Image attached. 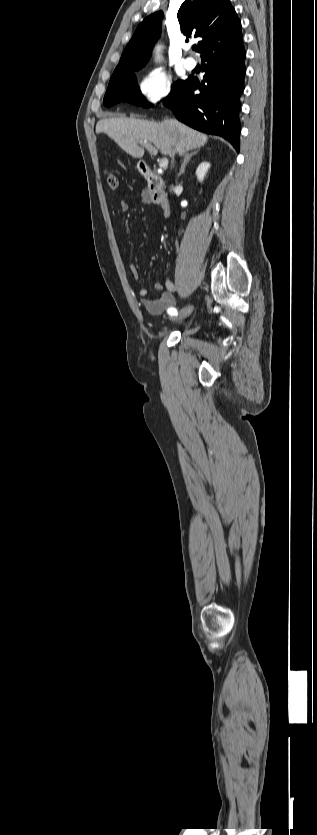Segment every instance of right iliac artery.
<instances>
[{"instance_id": "1", "label": "right iliac artery", "mask_w": 317, "mask_h": 835, "mask_svg": "<svg viewBox=\"0 0 317 835\" xmlns=\"http://www.w3.org/2000/svg\"><path fill=\"white\" fill-rule=\"evenodd\" d=\"M168 314H170L171 316L177 315V309L176 308L168 309Z\"/></svg>"}]
</instances>
